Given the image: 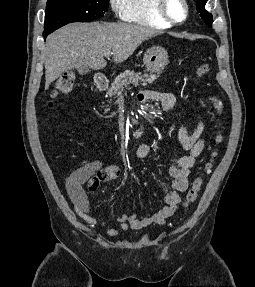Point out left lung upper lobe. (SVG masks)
I'll list each match as a JSON object with an SVG mask.
<instances>
[{"instance_id": "left-lung-upper-lobe-1", "label": "left lung upper lobe", "mask_w": 255, "mask_h": 287, "mask_svg": "<svg viewBox=\"0 0 255 287\" xmlns=\"http://www.w3.org/2000/svg\"><path fill=\"white\" fill-rule=\"evenodd\" d=\"M197 4V10L205 21L206 25L212 27V15L205 10V4L207 0H195Z\"/></svg>"}]
</instances>
